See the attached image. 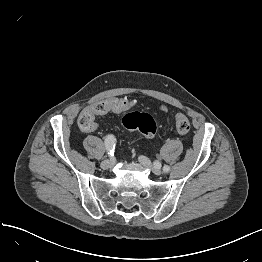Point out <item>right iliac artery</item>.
I'll return each mask as SVG.
<instances>
[{"label": "right iliac artery", "mask_w": 262, "mask_h": 262, "mask_svg": "<svg viewBox=\"0 0 262 262\" xmlns=\"http://www.w3.org/2000/svg\"><path fill=\"white\" fill-rule=\"evenodd\" d=\"M104 145L105 148L108 152L109 155L113 156L114 155V150L116 146V138L114 135L110 134L105 137L104 140Z\"/></svg>", "instance_id": "82829eb1"}]
</instances>
